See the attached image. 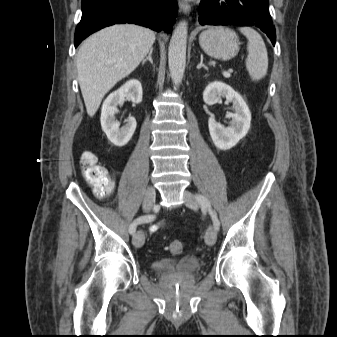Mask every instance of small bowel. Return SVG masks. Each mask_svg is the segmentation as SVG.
<instances>
[{
	"label": "small bowel",
	"mask_w": 337,
	"mask_h": 337,
	"mask_svg": "<svg viewBox=\"0 0 337 337\" xmlns=\"http://www.w3.org/2000/svg\"><path fill=\"white\" fill-rule=\"evenodd\" d=\"M155 229H156L155 226H152V227H151V231H154Z\"/></svg>",
	"instance_id": "small-bowel-1"
}]
</instances>
